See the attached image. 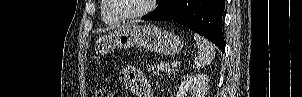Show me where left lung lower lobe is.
<instances>
[{
  "label": "left lung lower lobe",
  "mask_w": 302,
  "mask_h": 97,
  "mask_svg": "<svg viewBox=\"0 0 302 97\" xmlns=\"http://www.w3.org/2000/svg\"><path fill=\"white\" fill-rule=\"evenodd\" d=\"M225 0H160L157 8L142 20L174 21L206 37L222 52V15Z\"/></svg>",
  "instance_id": "obj_1"
}]
</instances>
